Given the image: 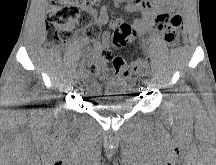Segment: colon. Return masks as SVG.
<instances>
[{
    "label": "colon",
    "mask_w": 216,
    "mask_h": 165,
    "mask_svg": "<svg viewBox=\"0 0 216 165\" xmlns=\"http://www.w3.org/2000/svg\"><path fill=\"white\" fill-rule=\"evenodd\" d=\"M103 0H49L48 25L57 41H66L78 25L85 28L87 39L96 40L100 35V26L92 21L89 12ZM182 16L177 13H165L158 17V28L165 42L172 45L182 26ZM135 35V30L127 23L119 24L112 38L114 51L105 49L99 53L91 50L84 52L85 67L97 76H106L111 68L117 73H139L146 69L147 58H139L127 64L120 56V50Z\"/></svg>",
    "instance_id": "5ec220e1"
}]
</instances>
